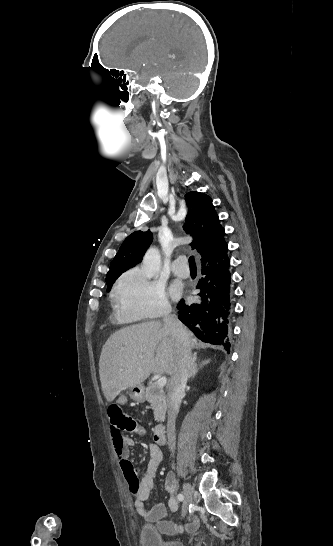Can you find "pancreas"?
<instances>
[{
	"instance_id": "pancreas-1",
	"label": "pancreas",
	"mask_w": 333,
	"mask_h": 546,
	"mask_svg": "<svg viewBox=\"0 0 333 546\" xmlns=\"http://www.w3.org/2000/svg\"><path fill=\"white\" fill-rule=\"evenodd\" d=\"M145 393L146 400L150 403L152 409L154 410L155 421H162L167 410L164 389L159 387L157 383H153L147 386Z\"/></svg>"
}]
</instances>
